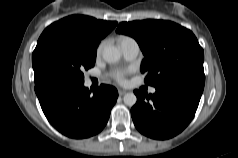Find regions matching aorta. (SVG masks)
Instances as JSON below:
<instances>
[{
	"instance_id": "aorta-1",
	"label": "aorta",
	"mask_w": 238,
	"mask_h": 158,
	"mask_svg": "<svg viewBox=\"0 0 238 158\" xmlns=\"http://www.w3.org/2000/svg\"><path fill=\"white\" fill-rule=\"evenodd\" d=\"M103 59L108 63H116L121 58L120 50L112 45L104 47L102 51ZM123 101L127 106H134L137 102V97L134 93H126L123 97Z\"/></svg>"
}]
</instances>
